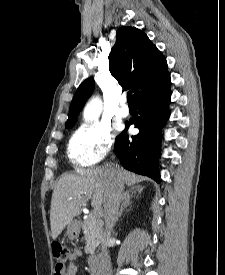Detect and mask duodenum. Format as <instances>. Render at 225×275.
<instances>
[{"label": "duodenum", "instance_id": "410a0bca", "mask_svg": "<svg viewBox=\"0 0 225 275\" xmlns=\"http://www.w3.org/2000/svg\"><path fill=\"white\" fill-rule=\"evenodd\" d=\"M90 272L92 275H98L100 267V256H91L89 259Z\"/></svg>", "mask_w": 225, "mask_h": 275}]
</instances>
